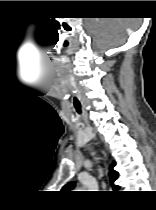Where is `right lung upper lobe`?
<instances>
[{"label":"right lung upper lobe","mask_w":156,"mask_h":210,"mask_svg":"<svg viewBox=\"0 0 156 210\" xmlns=\"http://www.w3.org/2000/svg\"><path fill=\"white\" fill-rule=\"evenodd\" d=\"M115 163H113L110 167V171H109V178H110V182L112 184V186L117 189L118 186L114 185V182L116 181V179L118 178V173L113 170V167H114ZM75 186V184L73 182L67 184L65 187H68V189H71Z\"/></svg>","instance_id":"right-lung-upper-lobe-1"}]
</instances>
